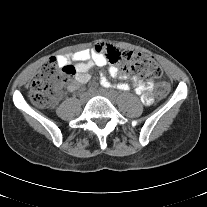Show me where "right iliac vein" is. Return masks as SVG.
Segmentation results:
<instances>
[{
	"mask_svg": "<svg viewBox=\"0 0 207 207\" xmlns=\"http://www.w3.org/2000/svg\"><path fill=\"white\" fill-rule=\"evenodd\" d=\"M93 90H95V89H94V88H91L90 91H93ZM91 93H92V92H91ZM88 95H90V93H89V94H86V93L82 94V95L80 96V101H81L82 103H85V101H86L87 98H88Z\"/></svg>",
	"mask_w": 207,
	"mask_h": 207,
	"instance_id": "obj_1",
	"label": "right iliac vein"
}]
</instances>
